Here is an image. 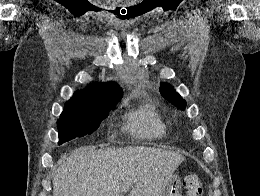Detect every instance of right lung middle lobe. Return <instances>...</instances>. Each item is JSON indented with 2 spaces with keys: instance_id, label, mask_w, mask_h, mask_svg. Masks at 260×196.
<instances>
[{
  "instance_id": "dd1d6c3e",
  "label": "right lung middle lobe",
  "mask_w": 260,
  "mask_h": 196,
  "mask_svg": "<svg viewBox=\"0 0 260 196\" xmlns=\"http://www.w3.org/2000/svg\"><path fill=\"white\" fill-rule=\"evenodd\" d=\"M111 107L102 108H64L57 121L59 145L76 137L92 134L107 118Z\"/></svg>"
}]
</instances>
